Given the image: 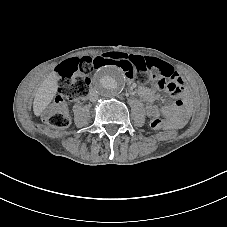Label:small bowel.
<instances>
[{"label": "small bowel", "mask_w": 227, "mask_h": 227, "mask_svg": "<svg viewBox=\"0 0 227 227\" xmlns=\"http://www.w3.org/2000/svg\"><path fill=\"white\" fill-rule=\"evenodd\" d=\"M183 90L184 87H182L180 92ZM138 94L148 104L146 112L149 117L155 118L161 115H166L174 118L177 125H182L186 121L188 117V109L186 103L183 100L179 99L170 106H159L154 104V101L157 99L155 90L141 86L138 89Z\"/></svg>", "instance_id": "small-bowel-1"}]
</instances>
